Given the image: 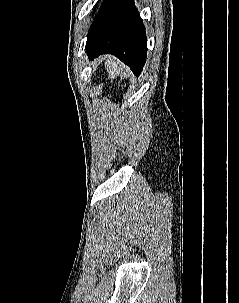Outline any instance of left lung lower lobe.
<instances>
[{
    "label": "left lung lower lobe",
    "instance_id": "obj_1",
    "mask_svg": "<svg viewBox=\"0 0 239 303\" xmlns=\"http://www.w3.org/2000/svg\"><path fill=\"white\" fill-rule=\"evenodd\" d=\"M90 59L113 54L139 75L146 61L145 27L133 0H117L99 25L87 36Z\"/></svg>",
    "mask_w": 239,
    "mask_h": 303
}]
</instances>
